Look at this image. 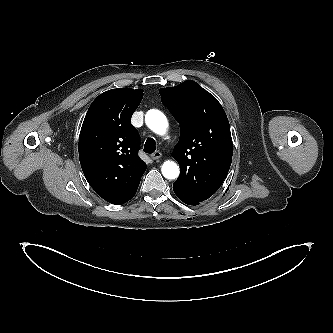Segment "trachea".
<instances>
[{"mask_svg":"<svg viewBox=\"0 0 333 333\" xmlns=\"http://www.w3.org/2000/svg\"><path fill=\"white\" fill-rule=\"evenodd\" d=\"M156 150V143L153 138H148L145 142L143 151L146 153H153Z\"/></svg>","mask_w":333,"mask_h":333,"instance_id":"obj_1","label":"trachea"}]
</instances>
